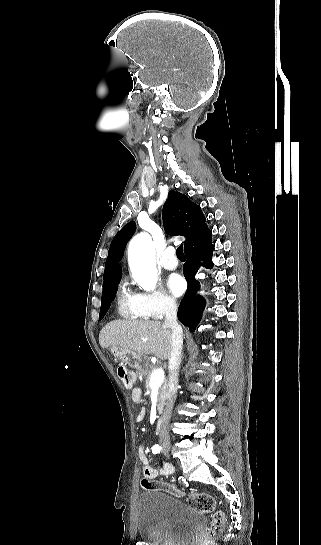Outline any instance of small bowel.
<instances>
[{
	"mask_svg": "<svg viewBox=\"0 0 321 545\" xmlns=\"http://www.w3.org/2000/svg\"><path fill=\"white\" fill-rule=\"evenodd\" d=\"M132 400L136 403L141 402V391L139 389H134L132 391ZM145 413H146L145 409L142 408L136 417V421L137 422L142 421L143 418L145 417ZM139 460L142 466V472L144 476L148 479H156L157 477H160V476L169 475L173 472V469H174L173 466L170 464H165L164 466L157 469L151 467L144 447H140L139 449Z\"/></svg>",
	"mask_w": 321,
	"mask_h": 545,
	"instance_id": "1",
	"label": "small bowel"
}]
</instances>
